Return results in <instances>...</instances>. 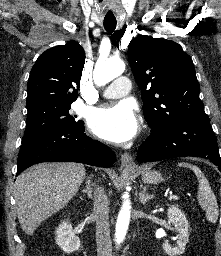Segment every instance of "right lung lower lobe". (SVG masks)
<instances>
[{
    "label": "right lung lower lobe",
    "instance_id": "1",
    "mask_svg": "<svg viewBox=\"0 0 221 256\" xmlns=\"http://www.w3.org/2000/svg\"><path fill=\"white\" fill-rule=\"evenodd\" d=\"M115 160V153L105 144L88 137L84 126L67 127L43 132L22 143L17 174L41 162L69 161L109 168Z\"/></svg>",
    "mask_w": 221,
    "mask_h": 256
}]
</instances>
